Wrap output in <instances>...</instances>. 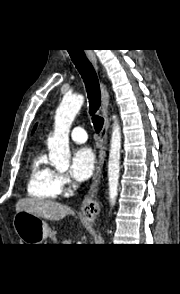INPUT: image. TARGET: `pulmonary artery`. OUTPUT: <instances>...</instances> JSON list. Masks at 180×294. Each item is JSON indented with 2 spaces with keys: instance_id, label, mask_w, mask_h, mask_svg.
Here are the masks:
<instances>
[{
  "instance_id": "pulmonary-artery-1",
  "label": "pulmonary artery",
  "mask_w": 180,
  "mask_h": 294,
  "mask_svg": "<svg viewBox=\"0 0 180 294\" xmlns=\"http://www.w3.org/2000/svg\"><path fill=\"white\" fill-rule=\"evenodd\" d=\"M71 138L74 142L84 143L87 140V133L81 127H75L71 132Z\"/></svg>"
}]
</instances>
